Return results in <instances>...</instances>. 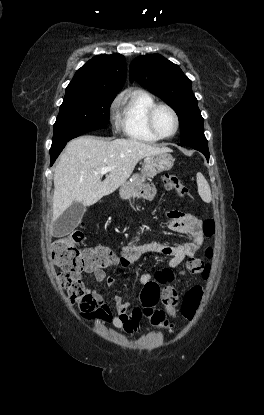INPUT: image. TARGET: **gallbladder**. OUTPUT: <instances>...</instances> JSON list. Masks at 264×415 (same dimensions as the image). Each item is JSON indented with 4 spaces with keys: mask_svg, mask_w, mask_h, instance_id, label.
Listing matches in <instances>:
<instances>
[{
    "mask_svg": "<svg viewBox=\"0 0 264 415\" xmlns=\"http://www.w3.org/2000/svg\"><path fill=\"white\" fill-rule=\"evenodd\" d=\"M86 207L79 202H73L71 206L56 220L53 235L57 237L70 234L81 221Z\"/></svg>",
    "mask_w": 264,
    "mask_h": 415,
    "instance_id": "gallbladder-1",
    "label": "gallbladder"
}]
</instances>
